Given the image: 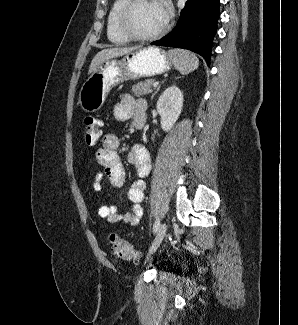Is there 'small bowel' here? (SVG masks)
I'll return each mask as SVG.
<instances>
[{"instance_id": "obj_1", "label": "small bowel", "mask_w": 298, "mask_h": 325, "mask_svg": "<svg viewBox=\"0 0 298 325\" xmlns=\"http://www.w3.org/2000/svg\"><path fill=\"white\" fill-rule=\"evenodd\" d=\"M138 102L130 94H123L114 108V116L119 121H126L134 114V108ZM119 139L115 134L107 133L102 136V146L96 151V160L102 170L95 174L93 189L100 192L101 181L104 177L114 187H121L125 180V172L118 155ZM128 162L135 168L138 179L134 180L128 190V198L132 203L130 212L121 213L115 204L102 205L98 209V215L107 219L110 223L122 222L127 225H137L142 217V201L144 198L145 181L151 170V162L148 151L141 145H134L128 152Z\"/></svg>"}]
</instances>
